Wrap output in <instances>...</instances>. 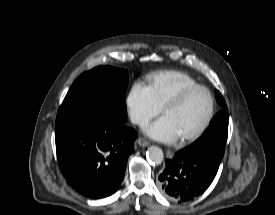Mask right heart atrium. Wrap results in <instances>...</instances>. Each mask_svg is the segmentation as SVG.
I'll return each mask as SVG.
<instances>
[{"label": "right heart atrium", "mask_w": 275, "mask_h": 215, "mask_svg": "<svg viewBox=\"0 0 275 215\" xmlns=\"http://www.w3.org/2000/svg\"><path fill=\"white\" fill-rule=\"evenodd\" d=\"M126 103L131 121L139 126H144L161 111L147 87L139 82L131 87Z\"/></svg>", "instance_id": "obj_1"}]
</instances>
